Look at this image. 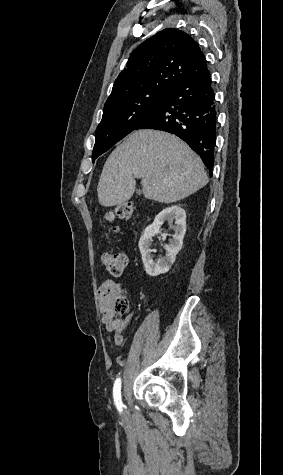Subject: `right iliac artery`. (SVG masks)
Listing matches in <instances>:
<instances>
[{"label":"right iliac artery","instance_id":"obj_1","mask_svg":"<svg viewBox=\"0 0 283 475\" xmlns=\"http://www.w3.org/2000/svg\"><path fill=\"white\" fill-rule=\"evenodd\" d=\"M113 397H114V402L119 410V412L122 411V401H121V379L118 378L116 379L113 387Z\"/></svg>","mask_w":283,"mask_h":475}]
</instances>
